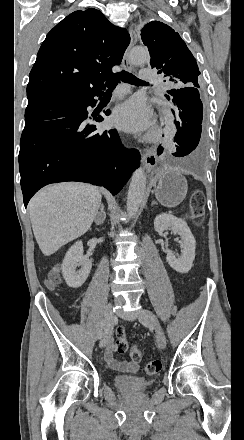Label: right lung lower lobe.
I'll use <instances>...</instances> for the list:
<instances>
[{
    "mask_svg": "<svg viewBox=\"0 0 244 440\" xmlns=\"http://www.w3.org/2000/svg\"><path fill=\"white\" fill-rule=\"evenodd\" d=\"M104 88L76 97L28 100L19 152L25 207L40 188L57 182L91 183L115 195L139 166L140 153L126 149L115 129L99 132L84 122L87 107L96 104L93 97L101 98Z\"/></svg>",
    "mask_w": 244,
    "mask_h": 440,
    "instance_id": "1",
    "label": "right lung lower lobe"
}]
</instances>
